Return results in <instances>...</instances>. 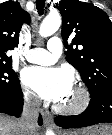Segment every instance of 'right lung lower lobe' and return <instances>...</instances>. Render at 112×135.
I'll use <instances>...</instances> for the list:
<instances>
[{"mask_svg":"<svg viewBox=\"0 0 112 135\" xmlns=\"http://www.w3.org/2000/svg\"><path fill=\"white\" fill-rule=\"evenodd\" d=\"M23 109V94L22 91L12 96H0V112L8 115L19 117ZM39 124H42L41 116Z\"/></svg>","mask_w":112,"mask_h":135,"instance_id":"1","label":"right lung lower lobe"}]
</instances>
